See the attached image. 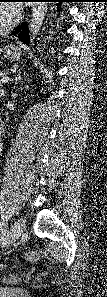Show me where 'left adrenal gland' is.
<instances>
[{
	"instance_id": "1",
	"label": "left adrenal gland",
	"mask_w": 107,
	"mask_h": 297,
	"mask_svg": "<svg viewBox=\"0 0 107 297\" xmlns=\"http://www.w3.org/2000/svg\"><path fill=\"white\" fill-rule=\"evenodd\" d=\"M15 84L21 81V71L18 70L17 75H15Z\"/></svg>"
}]
</instances>
